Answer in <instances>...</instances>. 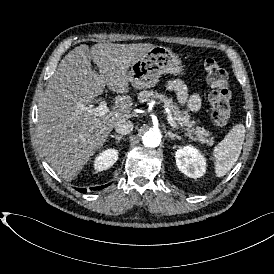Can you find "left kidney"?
I'll return each instance as SVG.
<instances>
[{"mask_svg":"<svg viewBox=\"0 0 274 274\" xmlns=\"http://www.w3.org/2000/svg\"><path fill=\"white\" fill-rule=\"evenodd\" d=\"M178 169L190 178H200L206 172V158L193 146H184L175 152Z\"/></svg>","mask_w":274,"mask_h":274,"instance_id":"obj_1","label":"left kidney"}]
</instances>
